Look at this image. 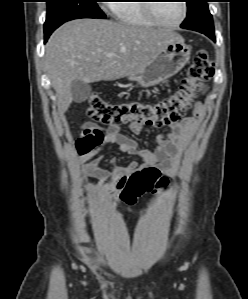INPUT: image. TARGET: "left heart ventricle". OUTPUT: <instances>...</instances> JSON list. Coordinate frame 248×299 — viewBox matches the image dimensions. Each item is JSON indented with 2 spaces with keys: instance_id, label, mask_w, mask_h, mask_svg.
<instances>
[{
  "instance_id": "obj_1",
  "label": "left heart ventricle",
  "mask_w": 248,
  "mask_h": 299,
  "mask_svg": "<svg viewBox=\"0 0 248 299\" xmlns=\"http://www.w3.org/2000/svg\"><path fill=\"white\" fill-rule=\"evenodd\" d=\"M155 11L160 19L166 23H176L182 16L181 1H163L157 3Z\"/></svg>"
}]
</instances>
